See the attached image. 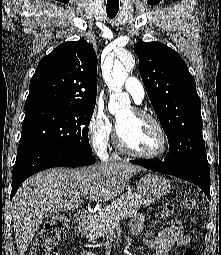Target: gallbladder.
<instances>
[{
    "mask_svg": "<svg viewBox=\"0 0 221 255\" xmlns=\"http://www.w3.org/2000/svg\"><path fill=\"white\" fill-rule=\"evenodd\" d=\"M59 211H60V210L49 211V212L45 215V218H52V217H54L56 214H58Z\"/></svg>",
    "mask_w": 221,
    "mask_h": 255,
    "instance_id": "bac80fb5",
    "label": "gallbladder"
}]
</instances>
